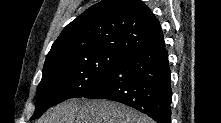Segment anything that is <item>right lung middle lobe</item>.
I'll return each mask as SVG.
<instances>
[{"mask_svg": "<svg viewBox=\"0 0 221 123\" xmlns=\"http://www.w3.org/2000/svg\"><path fill=\"white\" fill-rule=\"evenodd\" d=\"M127 55L110 49H91L44 63L42 80L37 89L36 109L31 120L59 102L94 92Z\"/></svg>", "mask_w": 221, "mask_h": 123, "instance_id": "obj_1", "label": "right lung middle lobe"}]
</instances>
